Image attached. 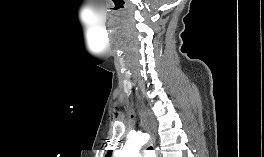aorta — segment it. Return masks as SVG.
<instances>
[{"label": "aorta", "mask_w": 264, "mask_h": 157, "mask_svg": "<svg viewBox=\"0 0 264 157\" xmlns=\"http://www.w3.org/2000/svg\"><path fill=\"white\" fill-rule=\"evenodd\" d=\"M148 141L146 134H136L128 139L122 150L116 152V157H139L141 147Z\"/></svg>", "instance_id": "762f6f07"}]
</instances>
